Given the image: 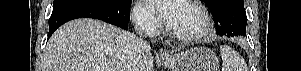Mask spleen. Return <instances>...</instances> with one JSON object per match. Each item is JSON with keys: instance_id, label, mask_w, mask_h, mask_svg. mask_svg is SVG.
Segmentation results:
<instances>
[{"instance_id": "obj_1", "label": "spleen", "mask_w": 301, "mask_h": 71, "mask_svg": "<svg viewBox=\"0 0 301 71\" xmlns=\"http://www.w3.org/2000/svg\"><path fill=\"white\" fill-rule=\"evenodd\" d=\"M222 56V71H248V67L241 55L227 45L220 46Z\"/></svg>"}]
</instances>
